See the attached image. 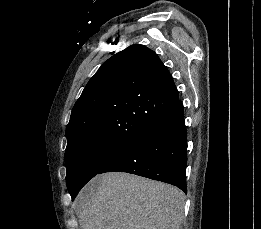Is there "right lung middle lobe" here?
<instances>
[{
    "mask_svg": "<svg viewBox=\"0 0 261 229\" xmlns=\"http://www.w3.org/2000/svg\"><path fill=\"white\" fill-rule=\"evenodd\" d=\"M129 145L90 140L68 145L65 153L66 183L72 200L91 178L122 154Z\"/></svg>",
    "mask_w": 261,
    "mask_h": 229,
    "instance_id": "right-lung-middle-lobe-1",
    "label": "right lung middle lobe"
}]
</instances>
